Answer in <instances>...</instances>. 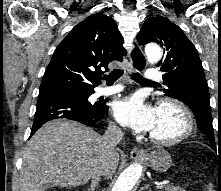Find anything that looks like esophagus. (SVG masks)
Listing matches in <instances>:
<instances>
[{
    "mask_svg": "<svg viewBox=\"0 0 221 191\" xmlns=\"http://www.w3.org/2000/svg\"><path fill=\"white\" fill-rule=\"evenodd\" d=\"M129 58L131 63L130 71H143L146 65V59L142 48L135 43L129 51ZM144 153L140 147H134L131 151V157L137 158L142 156Z\"/></svg>",
    "mask_w": 221,
    "mask_h": 191,
    "instance_id": "34e87169",
    "label": "esophagus"
}]
</instances>
